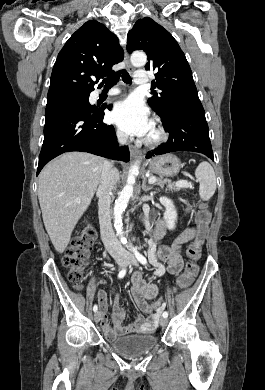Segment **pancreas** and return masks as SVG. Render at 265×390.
I'll list each match as a JSON object with an SVG mask.
<instances>
[{"instance_id": "cf45deb5", "label": "pancreas", "mask_w": 265, "mask_h": 390, "mask_svg": "<svg viewBox=\"0 0 265 390\" xmlns=\"http://www.w3.org/2000/svg\"><path fill=\"white\" fill-rule=\"evenodd\" d=\"M156 184L160 186L166 185V190L171 191H179L181 188H184V186L179 185L177 183H172L169 179H163V178H156ZM189 187H192V184L189 183Z\"/></svg>"}]
</instances>
